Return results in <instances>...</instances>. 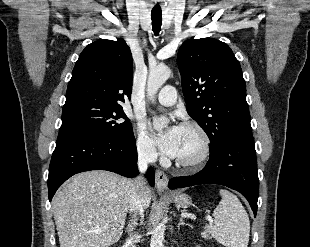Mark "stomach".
<instances>
[{"label": "stomach", "mask_w": 310, "mask_h": 247, "mask_svg": "<svg viewBox=\"0 0 310 247\" xmlns=\"http://www.w3.org/2000/svg\"><path fill=\"white\" fill-rule=\"evenodd\" d=\"M172 201L178 208H188L192 204L191 198L186 194L174 195Z\"/></svg>", "instance_id": "obj_1"}]
</instances>
